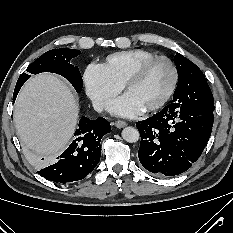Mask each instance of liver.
<instances>
[{
    "label": "liver",
    "mask_w": 233,
    "mask_h": 233,
    "mask_svg": "<svg viewBox=\"0 0 233 233\" xmlns=\"http://www.w3.org/2000/svg\"><path fill=\"white\" fill-rule=\"evenodd\" d=\"M79 106L69 84L52 74L32 77L21 89L14 122L23 144L38 155H57L69 143L78 122Z\"/></svg>",
    "instance_id": "obj_1"
}]
</instances>
